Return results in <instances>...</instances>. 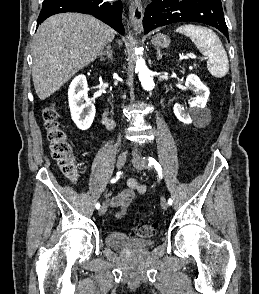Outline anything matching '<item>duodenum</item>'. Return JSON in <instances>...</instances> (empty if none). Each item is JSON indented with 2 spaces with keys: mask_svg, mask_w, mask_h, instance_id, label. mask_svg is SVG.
I'll use <instances>...</instances> for the list:
<instances>
[{
  "mask_svg": "<svg viewBox=\"0 0 259 294\" xmlns=\"http://www.w3.org/2000/svg\"><path fill=\"white\" fill-rule=\"evenodd\" d=\"M102 122L103 124H105L108 128L113 127L114 125V121L109 117V115L107 113H104L103 117H102Z\"/></svg>",
  "mask_w": 259,
  "mask_h": 294,
  "instance_id": "1",
  "label": "duodenum"
}]
</instances>
